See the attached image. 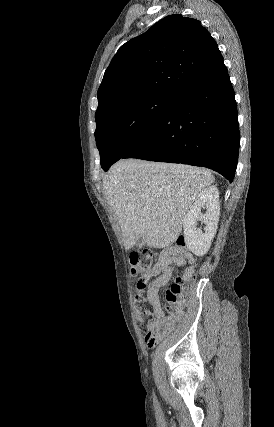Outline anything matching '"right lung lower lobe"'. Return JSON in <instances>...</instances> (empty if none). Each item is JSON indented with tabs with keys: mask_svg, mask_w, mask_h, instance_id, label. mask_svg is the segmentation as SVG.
Here are the masks:
<instances>
[{
	"mask_svg": "<svg viewBox=\"0 0 274 427\" xmlns=\"http://www.w3.org/2000/svg\"><path fill=\"white\" fill-rule=\"evenodd\" d=\"M237 115L225 67L177 94L159 123L122 158L204 166L232 182L240 142Z\"/></svg>",
	"mask_w": 274,
	"mask_h": 427,
	"instance_id": "98d812e1",
	"label": "right lung lower lobe"
}]
</instances>
